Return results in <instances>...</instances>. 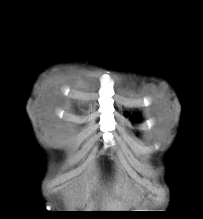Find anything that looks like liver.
<instances>
[{
  "mask_svg": "<svg viewBox=\"0 0 203 219\" xmlns=\"http://www.w3.org/2000/svg\"><path fill=\"white\" fill-rule=\"evenodd\" d=\"M126 204L122 201L113 199V197L106 196L103 202V209H125ZM108 211H121V210H108Z\"/></svg>",
  "mask_w": 203,
  "mask_h": 219,
  "instance_id": "6515ba94",
  "label": "liver"
}]
</instances>
